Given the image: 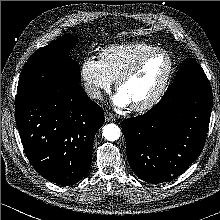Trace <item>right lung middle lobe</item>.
<instances>
[{
    "label": "right lung middle lobe",
    "instance_id": "1",
    "mask_svg": "<svg viewBox=\"0 0 220 220\" xmlns=\"http://www.w3.org/2000/svg\"><path fill=\"white\" fill-rule=\"evenodd\" d=\"M76 41L75 36L67 35L38 49L29 58L20 75L17 94L79 84L81 81L79 66L67 56Z\"/></svg>",
    "mask_w": 220,
    "mask_h": 220
}]
</instances>
